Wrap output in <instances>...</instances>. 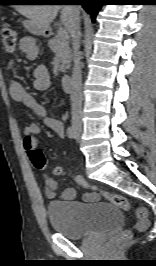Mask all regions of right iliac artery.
<instances>
[{
    "label": "right iliac artery",
    "mask_w": 156,
    "mask_h": 266,
    "mask_svg": "<svg viewBox=\"0 0 156 266\" xmlns=\"http://www.w3.org/2000/svg\"><path fill=\"white\" fill-rule=\"evenodd\" d=\"M67 135L71 139H75L77 137V132H76L74 126L68 127V129H67Z\"/></svg>",
    "instance_id": "1"
}]
</instances>
